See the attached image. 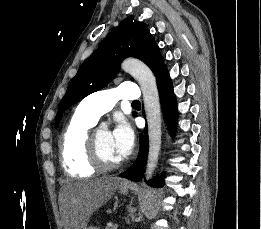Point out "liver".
I'll return each mask as SVG.
<instances>
[{
    "instance_id": "6515ba94",
    "label": "liver",
    "mask_w": 261,
    "mask_h": 229,
    "mask_svg": "<svg viewBox=\"0 0 261 229\" xmlns=\"http://www.w3.org/2000/svg\"><path fill=\"white\" fill-rule=\"evenodd\" d=\"M119 177H100L91 181L67 185L68 197L64 199L67 229H85L89 217L116 193Z\"/></svg>"
}]
</instances>
